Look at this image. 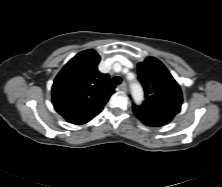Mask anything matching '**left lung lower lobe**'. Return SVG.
Wrapping results in <instances>:
<instances>
[{
  "label": "left lung lower lobe",
  "instance_id": "obj_1",
  "mask_svg": "<svg viewBox=\"0 0 222 187\" xmlns=\"http://www.w3.org/2000/svg\"><path fill=\"white\" fill-rule=\"evenodd\" d=\"M133 112L145 125L162 126L170 122L176 114L168 112L149 111L133 105Z\"/></svg>",
  "mask_w": 222,
  "mask_h": 187
}]
</instances>
